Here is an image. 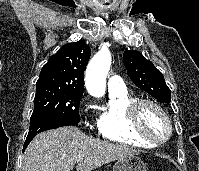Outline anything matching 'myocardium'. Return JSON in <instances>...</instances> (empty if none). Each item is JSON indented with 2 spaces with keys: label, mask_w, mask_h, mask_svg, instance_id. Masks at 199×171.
I'll return each instance as SVG.
<instances>
[{
  "label": "myocardium",
  "mask_w": 199,
  "mask_h": 171,
  "mask_svg": "<svg viewBox=\"0 0 199 171\" xmlns=\"http://www.w3.org/2000/svg\"><path fill=\"white\" fill-rule=\"evenodd\" d=\"M148 107L157 111L164 119L167 127V131L164 136L154 135L145 127L143 123V116L145 109ZM129 117L133 131L140 137L145 138L156 145L167 142L173 134V124L170 116L158 102L152 99H135V101L130 105Z\"/></svg>",
  "instance_id": "f54148a6"
}]
</instances>
